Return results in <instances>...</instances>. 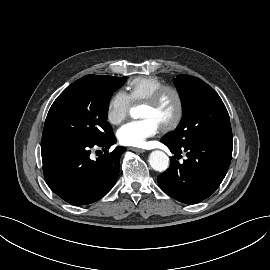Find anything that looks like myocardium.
I'll return each mask as SVG.
<instances>
[{
	"label": "myocardium",
	"mask_w": 270,
	"mask_h": 270,
	"mask_svg": "<svg viewBox=\"0 0 270 270\" xmlns=\"http://www.w3.org/2000/svg\"><path fill=\"white\" fill-rule=\"evenodd\" d=\"M172 93L176 99V111L174 117L167 123L161 126L162 131H170L179 126L184 116V98L181 91L173 85H163L156 89L149 97L144 100V103L156 105L166 93Z\"/></svg>",
	"instance_id": "1"
}]
</instances>
